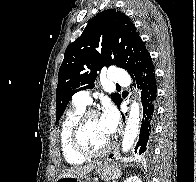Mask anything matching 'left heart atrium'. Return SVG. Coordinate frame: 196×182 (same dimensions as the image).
Listing matches in <instances>:
<instances>
[{"mask_svg":"<svg viewBox=\"0 0 196 182\" xmlns=\"http://www.w3.org/2000/svg\"><path fill=\"white\" fill-rule=\"evenodd\" d=\"M103 127L108 135H112L116 129L118 118L117 114L112 109H107L101 117Z\"/></svg>","mask_w":196,"mask_h":182,"instance_id":"obj_1","label":"left heart atrium"}]
</instances>
